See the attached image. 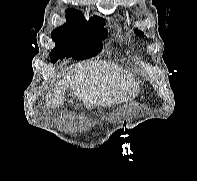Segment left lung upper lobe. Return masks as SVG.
Returning a JSON list of instances; mask_svg holds the SVG:
<instances>
[{
  "instance_id": "1",
  "label": "left lung upper lobe",
  "mask_w": 197,
  "mask_h": 181,
  "mask_svg": "<svg viewBox=\"0 0 197 181\" xmlns=\"http://www.w3.org/2000/svg\"><path fill=\"white\" fill-rule=\"evenodd\" d=\"M138 35H140V36H143L144 34H143V32H141V31H139V30H136L135 31Z\"/></svg>"
}]
</instances>
